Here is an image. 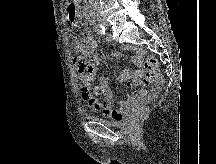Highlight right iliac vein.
<instances>
[{
	"instance_id": "63e3f726",
	"label": "right iliac vein",
	"mask_w": 216,
	"mask_h": 164,
	"mask_svg": "<svg viewBox=\"0 0 216 164\" xmlns=\"http://www.w3.org/2000/svg\"><path fill=\"white\" fill-rule=\"evenodd\" d=\"M99 21H100L103 25H105V26L107 25V22L105 21V19H100Z\"/></svg>"
}]
</instances>
